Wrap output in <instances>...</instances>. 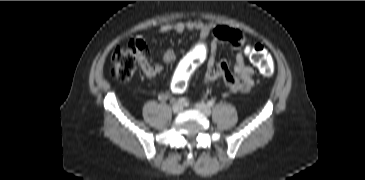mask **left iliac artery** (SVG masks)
I'll return each instance as SVG.
<instances>
[{
	"instance_id": "1",
	"label": "left iliac artery",
	"mask_w": 365,
	"mask_h": 180,
	"mask_svg": "<svg viewBox=\"0 0 365 180\" xmlns=\"http://www.w3.org/2000/svg\"><path fill=\"white\" fill-rule=\"evenodd\" d=\"M207 104H208L209 107H212L215 104V101L214 100H209L207 102Z\"/></svg>"
}]
</instances>
